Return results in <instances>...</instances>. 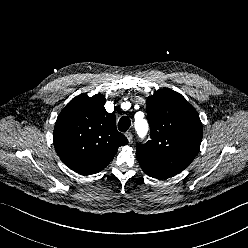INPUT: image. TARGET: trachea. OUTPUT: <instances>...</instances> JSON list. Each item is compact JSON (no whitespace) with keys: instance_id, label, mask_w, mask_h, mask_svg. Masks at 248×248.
<instances>
[{"instance_id":"3493384b","label":"trachea","mask_w":248,"mask_h":248,"mask_svg":"<svg viewBox=\"0 0 248 248\" xmlns=\"http://www.w3.org/2000/svg\"><path fill=\"white\" fill-rule=\"evenodd\" d=\"M131 125V120L129 117L123 116L120 118L119 122H118V129L121 132H125L129 129Z\"/></svg>"}]
</instances>
